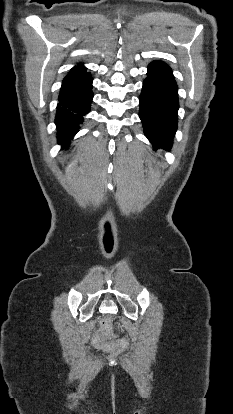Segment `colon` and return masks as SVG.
Segmentation results:
<instances>
[{
  "instance_id": "colon-1",
  "label": "colon",
  "mask_w": 233,
  "mask_h": 414,
  "mask_svg": "<svg viewBox=\"0 0 233 414\" xmlns=\"http://www.w3.org/2000/svg\"><path fill=\"white\" fill-rule=\"evenodd\" d=\"M112 330V321L110 319V317H106L103 319L102 323H101V334L98 335L95 340H94V345L97 348H102V349H106V350H117L119 345L116 343H107L104 341V337L109 335L111 333Z\"/></svg>"
}]
</instances>
